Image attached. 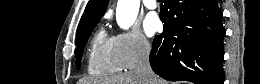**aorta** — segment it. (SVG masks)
Listing matches in <instances>:
<instances>
[{
    "instance_id": "aorta-1",
    "label": "aorta",
    "mask_w": 260,
    "mask_h": 84,
    "mask_svg": "<svg viewBox=\"0 0 260 84\" xmlns=\"http://www.w3.org/2000/svg\"><path fill=\"white\" fill-rule=\"evenodd\" d=\"M140 0H118L116 21L122 29L130 28L136 21Z\"/></svg>"
}]
</instances>
